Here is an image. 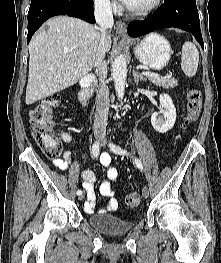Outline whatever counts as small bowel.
Segmentation results:
<instances>
[{"label": "small bowel", "mask_w": 221, "mask_h": 263, "mask_svg": "<svg viewBox=\"0 0 221 263\" xmlns=\"http://www.w3.org/2000/svg\"><path fill=\"white\" fill-rule=\"evenodd\" d=\"M65 142L71 141V135L68 133L63 134ZM112 158L108 153H102L100 155V163L107 168L106 178L100 185V193L107 198L105 205L99 210V213L112 212L118 208V201L115 197V192L112 188V183L117 180L118 171L111 167ZM72 163V156L70 151H66L63 155V159L54 160L53 164L62 170H67ZM83 179V186L87 192V200L84 203V210L87 213L95 212L96 195L94 192V183L96 181L95 174L90 170H83L81 172Z\"/></svg>", "instance_id": "obj_1"}]
</instances>
